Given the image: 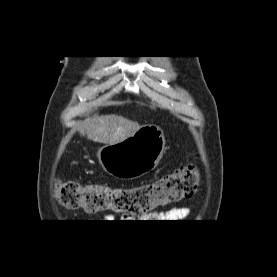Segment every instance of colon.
<instances>
[{"label":"colon","mask_w":277,"mask_h":277,"mask_svg":"<svg viewBox=\"0 0 277 277\" xmlns=\"http://www.w3.org/2000/svg\"><path fill=\"white\" fill-rule=\"evenodd\" d=\"M200 181L195 165L189 164L160 179L130 188L101 184H82L56 180L55 197L70 209L83 208L87 212L112 211L143 216L159 206L191 197Z\"/></svg>","instance_id":"5ec220e1"}]
</instances>
